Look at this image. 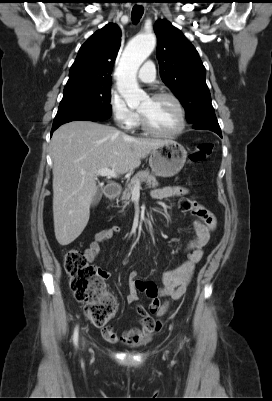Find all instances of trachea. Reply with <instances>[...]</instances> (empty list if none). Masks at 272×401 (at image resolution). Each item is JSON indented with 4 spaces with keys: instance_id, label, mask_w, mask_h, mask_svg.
<instances>
[{
    "instance_id": "trachea-1",
    "label": "trachea",
    "mask_w": 272,
    "mask_h": 401,
    "mask_svg": "<svg viewBox=\"0 0 272 401\" xmlns=\"http://www.w3.org/2000/svg\"><path fill=\"white\" fill-rule=\"evenodd\" d=\"M144 13V8L142 6H134L132 9L131 17L132 21L136 24L140 21L142 15Z\"/></svg>"
}]
</instances>
